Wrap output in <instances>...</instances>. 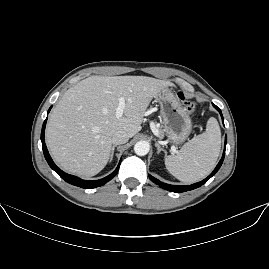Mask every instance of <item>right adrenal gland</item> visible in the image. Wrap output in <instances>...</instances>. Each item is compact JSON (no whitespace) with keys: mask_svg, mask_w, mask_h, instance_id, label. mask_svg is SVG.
<instances>
[{"mask_svg":"<svg viewBox=\"0 0 269 269\" xmlns=\"http://www.w3.org/2000/svg\"><path fill=\"white\" fill-rule=\"evenodd\" d=\"M115 147H117V145H113V146H112L111 153H110V160H109V162H111L112 159H113V155H114Z\"/></svg>","mask_w":269,"mask_h":269,"instance_id":"2a0ac1e0","label":"right adrenal gland"}]
</instances>
